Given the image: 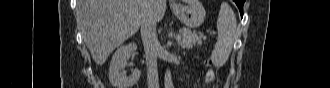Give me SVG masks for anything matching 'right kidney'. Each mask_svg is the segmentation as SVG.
<instances>
[{
    "label": "right kidney",
    "instance_id": "right-kidney-1",
    "mask_svg": "<svg viewBox=\"0 0 330 88\" xmlns=\"http://www.w3.org/2000/svg\"><path fill=\"white\" fill-rule=\"evenodd\" d=\"M136 50L137 45L130 43L115 51L109 67V81L115 88H130L139 80L140 70L135 69L129 77L123 72L128 56Z\"/></svg>",
    "mask_w": 330,
    "mask_h": 88
}]
</instances>
